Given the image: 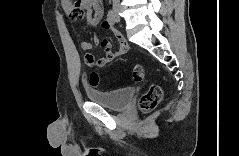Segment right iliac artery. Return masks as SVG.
I'll use <instances>...</instances> for the list:
<instances>
[{
  "label": "right iliac artery",
  "instance_id": "right-iliac-artery-1",
  "mask_svg": "<svg viewBox=\"0 0 239 156\" xmlns=\"http://www.w3.org/2000/svg\"><path fill=\"white\" fill-rule=\"evenodd\" d=\"M107 20L109 21V23L111 25H114L116 23V17H115V13L113 10H110L107 14Z\"/></svg>",
  "mask_w": 239,
  "mask_h": 156
}]
</instances>
